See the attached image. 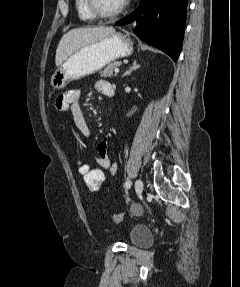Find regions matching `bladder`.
<instances>
[{
    "label": "bladder",
    "mask_w": 240,
    "mask_h": 287,
    "mask_svg": "<svg viewBox=\"0 0 240 287\" xmlns=\"http://www.w3.org/2000/svg\"><path fill=\"white\" fill-rule=\"evenodd\" d=\"M129 242L133 246L148 245L152 242V232L146 226L135 224L130 229Z\"/></svg>",
    "instance_id": "bladder-1"
}]
</instances>
